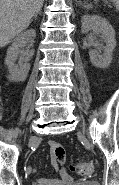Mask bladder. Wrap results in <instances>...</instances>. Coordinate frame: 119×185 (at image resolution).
Instances as JSON below:
<instances>
[{"label":"bladder","instance_id":"31cf9c89","mask_svg":"<svg viewBox=\"0 0 119 185\" xmlns=\"http://www.w3.org/2000/svg\"><path fill=\"white\" fill-rule=\"evenodd\" d=\"M75 185H99L98 182L94 180H85V181H80Z\"/></svg>","mask_w":119,"mask_h":185}]
</instances>
